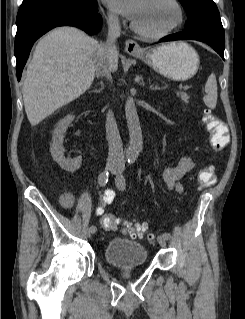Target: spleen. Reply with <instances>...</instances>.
<instances>
[{
	"instance_id": "obj_1",
	"label": "spleen",
	"mask_w": 245,
	"mask_h": 319,
	"mask_svg": "<svg viewBox=\"0 0 245 319\" xmlns=\"http://www.w3.org/2000/svg\"><path fill=\"white\" fill-rule=\"evenodd\" d=\"M205 96L203 101L207 107L214 109L217 104V81L214 73H211L205 84Z\"/></svg>"
}]
</instances>
